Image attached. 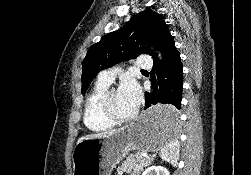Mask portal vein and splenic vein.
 <instances>
[{"label":"portal vein and splenic vein","instance_id":"18ae733b","mask_svg":"<svg viewBox=\"0 0 251 175\" xmlns=\"http://www.w3.org/2000/svg\"><path fill=\"white\" fill-rule=\"evenodd\" d=\"M142 157H143V158H146V157H147V154H146V153H142Z\"/></svg>","mask_w":251,"mask_h":175}]
</instances>
